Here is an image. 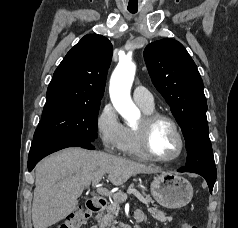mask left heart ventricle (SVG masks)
Wrapping results in <instances>:
<instances>
[{
  "mask_svg": "<svg viewBox=\"0 0 238 228\" xmlns=\"http://www.w3.org/2000/svg\"><path fill=\"white\" fill-rule=\"evenodd\" d=\"M150 143L152 151L162 158L175 156L179 149V141L173 128L164 121L158 122L154 126Z\"/></svg>",
  "mask_w": 238,
  "mask_h": 228,
  "instance_id": "left-heart-ventricle-1",
  "label": "left heart ventricle"
}]
</instances>
